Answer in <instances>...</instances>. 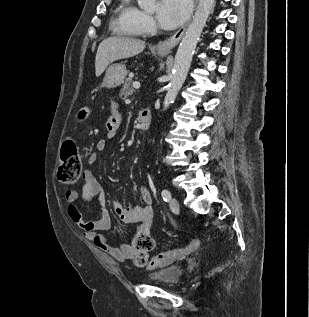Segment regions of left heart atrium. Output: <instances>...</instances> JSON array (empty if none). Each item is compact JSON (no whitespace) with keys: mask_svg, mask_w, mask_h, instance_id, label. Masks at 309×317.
Returning <instances> with one entry per match:
<instances>
[{"mask_svg":"<svg viewBox=\"0 0 309 317\" xmlns=\"http://www.w3.org/2000/svg\"><path fill=\"white\" fill-rule=\"evenodd\" d=\"M191 11V0H160L158 21L164 29H174L185 21Z\"/></svg>","mask_w":309,"mask_h":317,"instance_id":"obj_1","label":"left heart atrium"}]
</instances>
